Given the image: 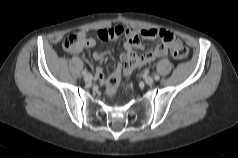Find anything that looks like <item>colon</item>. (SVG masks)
Returning <instances> with one entry per match:
<instances>
[{
	"label": "colon",
	"instance_id": "1",
	"mask_svg": "<svg viewBox=\"0 0 238 158\" xmlns=\"http://www.w3.org/2000/svg\"><path fill=\"white\" fill-rule=\"evenodd\" d=\"M98 36L102 40H108L110 38L114 37V33L110 29H104L100 30L98 32ZM82 44V40L79 37L77 33H72L69 34L63 42V48L65 51L70 52V53H76L79 51L80 47ZM170 54L172 57L176 60H183L187 57L188 55V50L187 48L180 43L179 41H174L170 47ZM133 61V57L130 62ZM120 83V82H119ZM119 83L116 80L111 81V88H112V93H114L119 85Z\"/></svg>",
	"mask_w": 238,
	"mask_h": 158
}]
</instances>
